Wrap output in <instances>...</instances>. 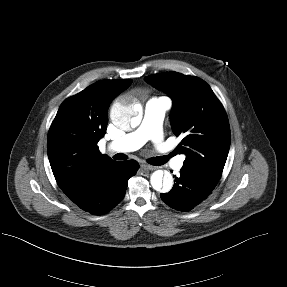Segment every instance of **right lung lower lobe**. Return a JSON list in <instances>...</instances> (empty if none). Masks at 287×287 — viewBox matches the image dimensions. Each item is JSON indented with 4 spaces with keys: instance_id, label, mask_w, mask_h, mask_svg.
Listing matches in <instances>:
<instances>
[{
    "instance_id": "right-lung-lower-lobe-1",
    "label": "right lung lower lobe",
    "mask_w": 287,
    "mask_h": 287,
    "mask_svg": "<svg viewBox=\"0 0 287 287\" xmlns=\"http://www.w3.org/2000/svg\"><path fill=\"white\" fill-rule=\"evenodd\" d=\"M138 168L139 164L135 160L115 161L106 165L97 172L83 193L73 202L94 215L110 211L123 199L127 182Z\"/></svg>"
}]
</instances>
